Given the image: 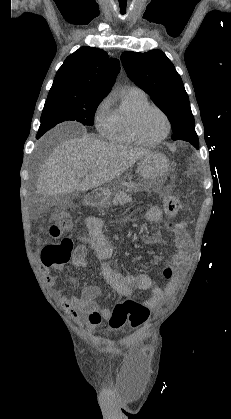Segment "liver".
I'll use <instances>...</instances> for the list:
<instances>
[{
	"label": "liver",
	"mask_w": 231,
	"mask_h": 419,
	"mask_svg": "<svg viewBox=\"0 0 231 419\" xmlns=\"http://www.w3.org/2000/svg\"><path fill=\"white\" fill-rule=\"evenodd\" d=\"M150 152L86 136L65 140L43 164L37 183L38 192L47 198L98 188L120 176ZM84 170L89 174L80 180L78 174Z\"/></svg>",
	"instance_id": "6515ba94"
}]
</instances>
